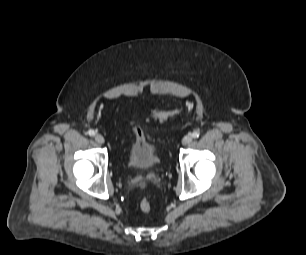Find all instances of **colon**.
Listing matches in <instances>:
<instances>
[{
    "mask_svg": "<svg viewBox=\"0 0 306 255\" xmlns=\"http://www.w3.org/2000/svg\"><path fill=\"white\" fill-rule=\"evenodd\" d=\"M178 112H179L178 109L152 111L148 115V118L159 120V121H165V120L169 119L170 117L176 115ZM140 208L145 213H148L152 210L151 203L146 197L141 199Z\"/></svg>",
    "mask_w": 306,
    "mask_h": 255,
    "instance_id": "obj_1",
    "label": "colon"
}]
</instances>
